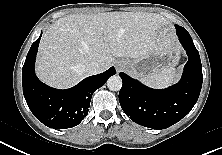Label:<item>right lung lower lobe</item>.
Segmentation results:
<instances>
[{
  "label": "right lung lower lobe",
  "mask_w": 222,
  "mask_h": 155,
  "mask_svg": "<svg viewBox=\"0 0 222 155\" xmlns=\"http://www.w3.org/2000/svg\"><path fill=\"white\" fill-rule=\"evenodd\" d=\"M41 36L32 44L23 66L24 97L31 112L44 125L53 129L74 127L87 116L92 94L115 74V68L87 77L71 89L51 88L42 83L34 71Z\"/></svg>",
  "instance_id": "98d812e1"
}]
</instances>
